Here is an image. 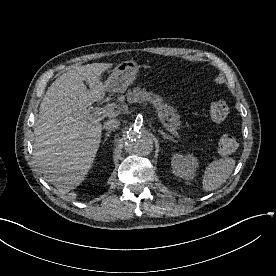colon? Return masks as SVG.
Returning a JSON list of instances; mask_svg holds the SVG:
<instances>
[{"instance_id":"1","label":"colon","mask_w":276,"mask_h":276,"mask_svg":"<svg viewBox=\"0 0 276 276\" xmlns=\"http://www.w3.org/2000/svg\"><path fill=\"white\" fill-rule=\"evenodd\" d=\"M229 104L222 99L215 100L211 103L209 114L213 121L222 122L229 115ZM238 149V141L231 134H223L218 141V151L223 156H229Z\"/></svg>"}]
</instances>
